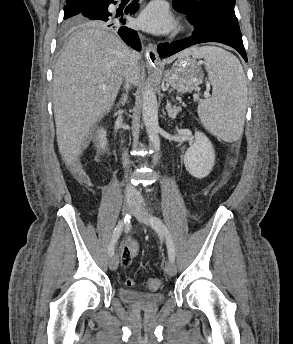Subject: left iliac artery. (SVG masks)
Masks as SVG:
<instances>
[{"mask_svg": "<svg viewBox=\"0 0 293 344\" xmlns=\"http://www.w3.org/2000/svg\"><path fill=\"white\" fill-rule=\"evenodd\" d=\"M150 223L152 227L160 234L164 235L166 238V244H167V249H168V257L171 261L175 260V249H174V244L173 240L171 237V234L169 233L168 229L166 228L165 224L163 221L155 216H152L150 218Z\"/></svg>", "mask_w": 293, "mask_h": 344, "instance_id": "left-iliac-artery-1", "label": "left iliac artery"}]
</instances>
